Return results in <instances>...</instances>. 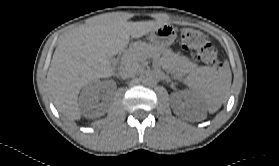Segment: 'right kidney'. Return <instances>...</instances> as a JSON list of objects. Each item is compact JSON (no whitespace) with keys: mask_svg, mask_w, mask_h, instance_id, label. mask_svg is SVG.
I'll return each instance as SVG.
<instances>
[{"mask_svg":"<svg viewBox=\"0 0 279 166\" xmlns=\"http://www.w3.org/2000/svg\"><path fill=\"white\" fill-rule=\"evenodd\" d=\"M107 87L102 82H94L87 86L83 92H82V97L81 101L84 107H91L93 106L97 101H98V92L99 90H103Z\"/></svg>","mask_w":279,"mask_h":166,"instance_id":"1","label":"right kidney"}]
</instances>
